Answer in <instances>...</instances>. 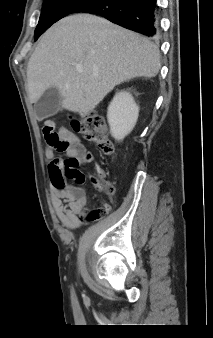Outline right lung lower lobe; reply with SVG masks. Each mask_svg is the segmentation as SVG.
Wrapping results in <instances>:
<instances>
[{
    "label": "right lung lower lobe",
    "instance_id": "obj_1",
    "mask_svg": "<svg viewBox=\"0 0 213 338\" xmlns=\"http://www.w3.org/2000/svg\"><path fill=\"white\" fill-rule=\"evenodd\" d=\"M88 12L149 37L159 32L156 0H92L74 13Z\"/></svg>",
    "mask_w": 213,
    "mask_h": 338
}]
</instances>
